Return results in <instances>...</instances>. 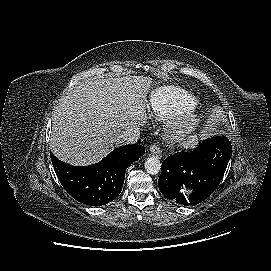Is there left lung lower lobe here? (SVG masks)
<instances>
[{
	"instance_id": "obj_1",
	"label": "left lung lower lobe",
	"mask_w": 271,
	"mask_h": 271,
	"mask_svg": "<svg viewBox=\"0 0 271 271\" xmlns=\"http://www.w3.org/2000/svg\"><path fill=\"white\" fill-rule=\"evenodd\" d=\"M222 138L207 139L193 151L167 157L158 180L161 193L184 206L196 205L210 196L220 184L225 170L204 159L201 148L207 142Z\"/></svg>"
}]
</instances>
